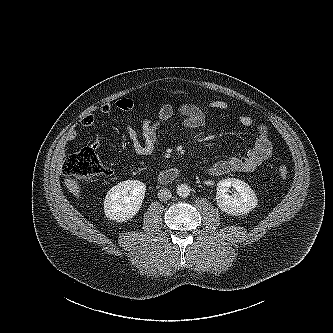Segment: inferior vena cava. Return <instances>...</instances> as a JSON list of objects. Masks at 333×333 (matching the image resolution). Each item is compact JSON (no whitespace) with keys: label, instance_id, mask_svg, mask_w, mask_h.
<instances>
[{"label":"inferior vena cava","instance_id":"602c4592","mask_svg":"<svg viewBox=\"0 0 333 333\" xmlns=\"http://www.w3.org/2000/svg\"><path fill=\"white\" fill-rule=\"evenodd\" d=\"M172 197V193L167 188H162L158 192V198L160 201H167Z\"/></svg>","mask_w":333,"mask_h":333}]
</instances>
